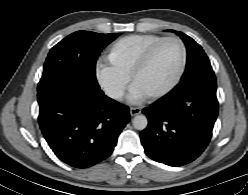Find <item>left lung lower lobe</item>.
<instances>
[{"label": "left lung lower lobe", "mask_w": 248, "mask_h": 195, "mask_svg": "<svg viewBox=\"0 0 248 195\" xmlns=\"http://www.w3.org/2000/svg\"><path fill=\"white\" fill-rule=\"evenodd\" d=\"M148 126L140 133L145 153L170 166L194 161L207 147L218 115L216 85L175 89L143 109Z\"/></svg>", "instance_id": "obj_1"}]
</instances>
